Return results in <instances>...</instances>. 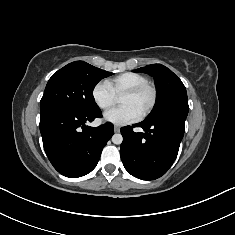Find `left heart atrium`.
<instances>
[{
  "instance_id": "39dd6f15",
  "label": "left heart atrium",
  "mask_w": 235,
  "mask_h": 235,
  "mask_svg": "<svg viewBox=\"0 0 235 235\" xmlns=\"http://www.w3.org/2000/svg\"><path fill=\"white\" fill-rule=\"evenodd\" d=\"M140 114L130 105H121L104 114V119L115 125H126L139 120Z\"/></svg>"
}]
</instances>
